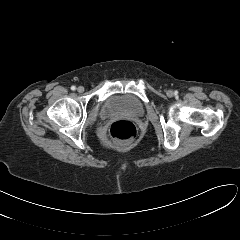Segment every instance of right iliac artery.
<instances>
[{
  "label": "right iliac artery",
  "instance_id": "82829eb1",
  "mask_svg": "<svg viewBox=\"0 0 240 240\" xmlns=\"http://www.w3.org/2000/svg\"><path fill=\"white\" fill-rule=\"evenodd\" d=\"M71 90H76V87L73 85V86H71Z\"/></svg>",
  "mask_w": 240,
  "mask_h": 240
}]
</instances>
